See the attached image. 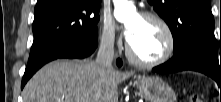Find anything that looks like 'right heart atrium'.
<instances>
[{"label": "right heart atrium", "mask_w": 221, "mask_h": 102, "mask_svg": "<svg viewBox=\"0 0 221 102\" xmlns=\"http://www.w3.org/2000/svg\"><path fill=\"white\" fill-rule=\"evenodd\" d=\"M99 41L106 50H114L119 44L115 24L109 16H103L101 19Z\"/></svg>", "instance_id": "1"}]
</instances>
